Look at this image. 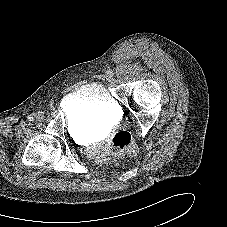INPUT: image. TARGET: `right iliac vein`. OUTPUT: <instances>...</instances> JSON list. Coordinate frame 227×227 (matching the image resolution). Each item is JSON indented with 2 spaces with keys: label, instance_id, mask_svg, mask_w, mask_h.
Listing matches in <instances>:
<instances>
[{
  "label": "right iliac vein",
  "instance_id": "obj_1",
  "mask_svg": "<svg viewBox=\"0 0 227 227\" xmlns=\"http://www.w3.org/2000/svg\"><path fill=\"white\" fill-rule=\"evenodd\" d=\"M34 116H35V118H36L37 120H42L43 117H44V115H43L42 112H37V113H35Z\"/></svg>",
  "mask_w": 227,
  "mask_h": 227
}]
</instances>
